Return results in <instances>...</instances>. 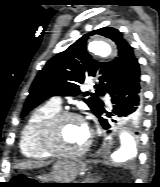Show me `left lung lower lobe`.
I'll return each mask as SVG.
<instances>
[{"label":"left lung lower lobe","mask_w":160,"mask_h":187,"mask_svg":"<svg viewBox=\"0 0 160 187\" xmlns=\"http://www.w3.org/2000/svg\"><path fill=\"white\" fill-rule=\"evenodd\" d=\"M140 75L138 60L134 58L124 76L108 90L112 102L111 112H107L104 108V103H102L96 115L105 129L110 128V125L102 117L103 113H107L108 117L115 116L124 120L129 119L135 124H139L143 112V93ZM113 122L116 121L113 120Z\"/></svg>","instance_id":"obj_1"}]
</instances>
